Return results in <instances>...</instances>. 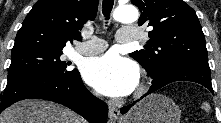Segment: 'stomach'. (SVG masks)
Listing matches in <instances>:
<instances>
[{"label": "stomach", "instance_id": "0dacf381", "mask_svg": "<svg viewBox=\"0 0 221 123\" xmlns=\"http://www.w3.org/2000/svg\"><path fill=\"white\" fill-rule=\"evenodd\" d=\"M181 111L168 97L151 94L135 104L122 123H180Z\"/></svg>", "mask_w": 221, "mask_h": 123}]
</instances>
